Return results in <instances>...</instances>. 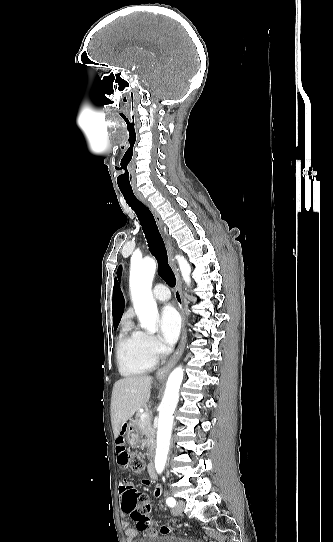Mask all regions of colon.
I'll use <instances>...</instances> for the list:
<instances>
[{"label": "colon", "mask_w": 333, "mask_h": 542, "mask_svg": "<svg viewBox=\"0 0 333 542\" xmlns=\"http://www.w3.org/2000/svg\"><path fill=\"white\" fill-rule=\"evenodd\" d=\"M129 469L136 474H140L145 469L144 459L137 453H132L128 458ZM142 498L141 489H124L121 497L123 509L130 519L136 524L138 531L145 532L146 534H152L154 537L157 535L155 530V524L150 518L151 511L153 509V502L151 500H144L141 504ZM162 532L166 533L167 528L163 527Z\"/></svg>", "instance_id": "5ec220e1"}]
</instances>
